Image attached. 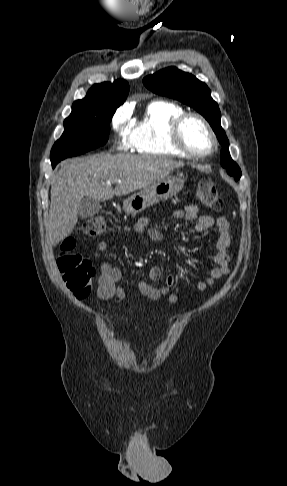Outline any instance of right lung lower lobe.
<instances>
[{
	"label": "right lung lower lobe",
	"instance_id": "obj_1",
	"mask_svg": "<svg viewBox=\"0 0 287 486\" xmlns=\"http://www.w3.org/2000/svg\"><path fill=\"white\" fill-rule=\"evenodd\" d=\"M56 165H52V167L54 168Z\"/></svg>",
	"mask_w": 287,
	"mask_h": 486
}]
</instances>
